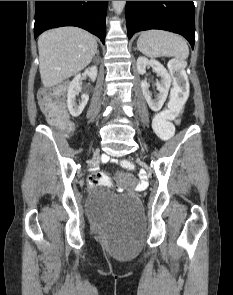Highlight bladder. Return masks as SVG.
Listing matches in <instances>:
<instances>
[{
  "mask_svg": "<svg viewBox=\"0 0 233 295\" xmlns=\"http://www.w3.org/2000/svg\"><path fill=\"white\" fill-rule=\"evenodd\" d=\"M86 207L97 220L124 213H140L139 200L132 195H116L94 189L87 198Z\"/></svg>",
  "mask_w": 233,
  "mask_h": 295,
  "instance_id": "obj_1",
  "label": "bladder"
}]
</instances>
